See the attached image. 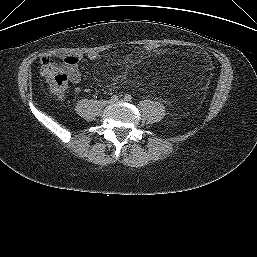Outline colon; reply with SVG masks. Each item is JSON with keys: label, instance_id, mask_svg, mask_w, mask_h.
Segmentation results:
<instances>
[{"label": "colon", "instance_id": "1", "mask_svg": "<svg viewBox=\"0 0 257 257\" xmlns=\"http://www.w3.org/2000/svg\"><path fill=\"white\" fill-rule=\"evenodd\" d=\"M144 49L146 52L154 53L159 50V47L155 44H146ZM43 62L42 75L46 78L52 92L59 96L63 95L67 89V74L61 69L52 66L49 58H45Z\"/></svg>", "mask_w": 257, "mask_h": 257}]
</instances>
